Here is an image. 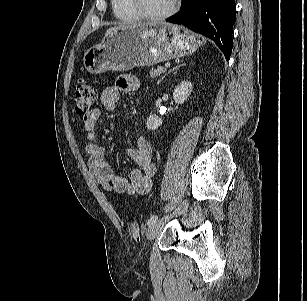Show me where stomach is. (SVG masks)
<instances>
[{"label":"stomach","instance_id":"1","mask_svg":"<svg viewBox=\"0 0 307 301\" xmlns=\"http://www.w3.org/2000/svg\"><path fill=\"white\" fill-rule=\"evenodd\" d=\"M203 43L201 36L181 25L127 26L111 31L99 45L88 49L83 67L91 74L127 71L191 54Z\"/></svg>","mask_w":307,"mask_h":301}]
</instances>
